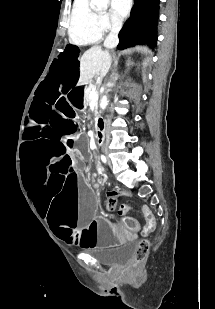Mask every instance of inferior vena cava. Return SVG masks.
<instances>
[{
    "mask_svg": "<svg viewBox=\"0 0 215 309\" xmlns=\"http://www.w3.org/2000/svg\"><path fill=\"white\" fill-rule=\"evenodd\" d=\"M111 24L112 28L104 40V46H106V48H114V46H117L119 42L118 34L122 28V18H111ZM110 124L111 120L108 118V120H106L105 128L107 144H109L111 136Z\"/></svg>",
    "mask_w": 215,
    "mask_h": 309,
    "instance_id": "obj_1",
    "label": "inferior vena cava"
}]
</instances>
